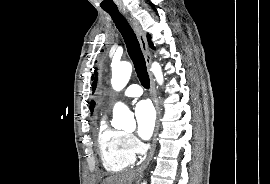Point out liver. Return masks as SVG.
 I'll list each match as a JSON object with an SVG mask.
<instances>
[{"label":"liver","mask_w":270,"mask_h":184,"mask_svg":"<svg viewBox=\"0 0 270 184\" xmlns=\"http://www.w3.org/2000/svg\"><path fill=\"white\" fill-rule=\"evenodd\" d=\"M133 177H134L133 173L111 176L106 178L103 181V184H131Z\"/></svg>","instance_id":"6515ba94"}]
</instances>
